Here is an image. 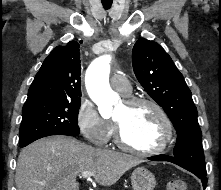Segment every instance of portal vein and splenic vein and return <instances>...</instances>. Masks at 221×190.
<instances>
[{
  "instance_id": "portal-vein-and-splenic-vein-1",
  "label": "portal vein and splenic vein",
  "mask_w": 221,
  "mask_h": 190,
  "mask_svg": "<svg viewBox=\"0 0 221 190\" xmlns=\"http://www.w3.org/2000/svg\"><path fill=\"white\" fill-rule=\"evenodd\" d=\"M81 175H82L83 178L89 179L91 176L94 175V172L85 171V172H83Z\"/></svg>"
}]
</instances>
